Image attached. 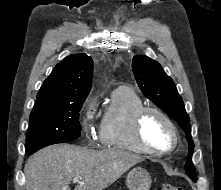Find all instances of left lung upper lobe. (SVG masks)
Masks as SVG:
<instances>
[{
	"label": "left lung upper lobe",
	"mask_w": 221,
	"mask_h": 190,
	"mask_svg": "<svg viewBox=\"0 0 221 190\" xmlns=\"http://www.w3.org/2000/svg\"><path fill=\"white\" fill-rule=\"evenodd\" d=\"M132 70L136 82L145 97L164 110L184 130L189 143L185 171L195 181L196 172L192 163L194 143L191 137L190 118L186 113L183 100L179 96L173 80L164 72L157 61L144 55L133 57Z\"/></svg>",
	"instance_id": "obj_1"
}]
</instances>
